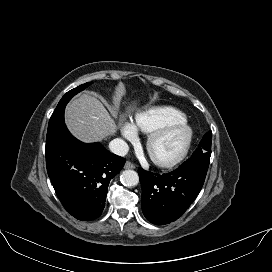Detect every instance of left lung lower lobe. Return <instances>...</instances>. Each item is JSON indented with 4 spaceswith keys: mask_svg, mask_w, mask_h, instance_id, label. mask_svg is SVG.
Segmentation results:
<instances>
[{
    "mask_svg": "<svg viewBox=\"0 0 272 272\" xmlns=\"http://www.w3.org/2000/svg\"><path fill=\"white\" fill-rule=\"evenodd\" d=\"M210 155L191 157L176 170L163 175L138 169L142 211L148 221L164 225L183 215L204 184Z\"/></svg>",
    "mask_w": 272,
    "mask_h": 272,
    "instance_id": "obj_1",
    "label": "left lung lower lobe"
}]
</instances>
